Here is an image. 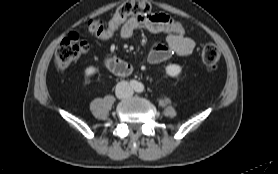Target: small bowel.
Returning <instances> with one entry per match:
<instances>
[{"instance_id":"c3829d8e","label":"small bowel","mask_w":278,"mask_h":174,"mask_svg":"<svg viewBox=\"0 0 278 174\" xmlns=\"http://www.w3.org/2000/svg\"><path fill=\"white\" fill-rule=\"evenodd\" d=\"M168 17L159 12L131 16L121 24L118 32L123 39L131 38L139 29H144L153 34L165 35V42L155 43L149 52L148 61L152 64L162 63L174 54L179 56L190 55L195 49V42L188 36L172 31L165 23V19Z\"/></svg>"}]
</instances>
